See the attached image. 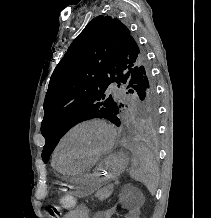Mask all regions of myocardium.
<instances>
[{"label": "myocardium", "instance_id": "myocardium-1", "mask_svg": "<svg viewBox=\"0 0 211 218\" xmlns=\"http://www.w3.org/2000/svg\"><path fill=\"white\" fill-rule=\"evenodd\" d=\"M88 125H97L100 126L101 128H103L108 136H109V141L107 143V145L104 147V149H102L91 161L82 164V165H78V169H85L88 168L94 164H96L100 159H102L104 156H106L114 147L115 143H116V139H117V134L116 131L114 130V128L104 119L102 118H87V119H83L79 122H77L76 124H74L72 127H70L60 138V140L58 141L56 147H55V151H54V158L57 162H59V152H60V148L63 144V142L66 140V138L68 136H70L72 133H74L75 131H77L78 129L88 126Z\"/></svg>", "mask_w": 211, "mask_h": 218}]
</instances>
